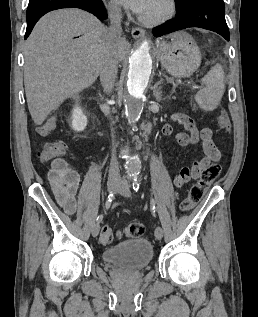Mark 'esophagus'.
<instances>
[{"instance_id": "1", "label": "esophagus", "mask_w": 258, "mask_h": 317, "mask_svg": "<svg viewBox=\"0 0 258 317\" xmlns=\"http://www.w3.org/2000/svg\"><path fill=\"white\" fill-rule=\"evenodd\" d=\"M132 37L135 39L144 38L145 37V30L143 28L134 27L132 29Z\"/></svg>"}]
</instances>
